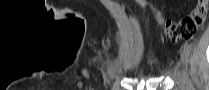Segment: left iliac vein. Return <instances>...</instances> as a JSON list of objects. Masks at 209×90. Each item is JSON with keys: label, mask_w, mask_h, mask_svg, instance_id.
<instances>
[{"label": "left iliac vein", "mask_w": 209, "mask_h": 90, "mask_svg": "<svg viewBox=\"0 0 209 90\" xmlns=\"http://www.w3.org/2000/svg\"><path fill=\"white\" fill-rule=\"evenodd\" d=\"M181 61L185 66H187L189 63V53L184 49L181 51Z\"/></svg>", "instance_id": "1"}]
</instances>
